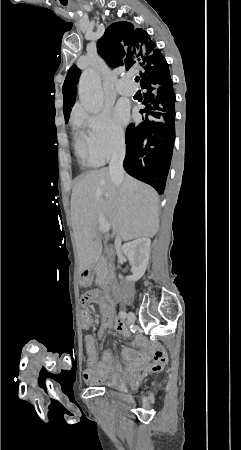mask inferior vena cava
<instances>
[{"label": "inferior vena cava", "mask_w": 241, "mask_h": 450, "mask_svg": "<svg viewBox=\"0 0 241 450\" xmlns=\"http://www.w3.org/2000/svg\"><path fill=\"white\" fill-rule=\"evenodd\" d=\"M125 158V144L123 140V144L119 150H117L116 154H114L110 164H109V174L110 178L117 190L121 188L123 178L125 176L124 168H123V160ZM119 240V236H117Z\"/></svg>", "instance_id": "1"}]
</instances>
